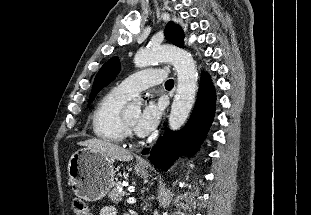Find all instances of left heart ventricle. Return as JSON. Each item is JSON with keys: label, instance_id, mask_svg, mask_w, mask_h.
Instances as JSON below:
<instances>
[{"label": "left heart ventricle", "instance_id": "left-heart-ventricle-1", "mask_svg": "<svg viewBox=\"0 0 311 215\" xmlns=\"http://www.w3.org/2000/svg\"><path fill=\"white\" fill-rule=\"evenodd\" d=\"M140 113V110L138 108H133V109H130V110H127L125 112V117L127 119V121L133 125L138 117Z\"/></svg>", "mask_w": 311, "mask_h": 215}]
</instances>
